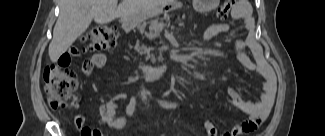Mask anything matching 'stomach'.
Segmentation results:
<instances>
[{"mask_svg": "<svg viewBox=\"0 0 325 136\" xmlns=\"http://www.w3.org/2000/svg\"><path fill=\"white\" fill-rule=\"evenodd\" d=\"M219 2L220 0H195L194 8L199 12L210 11L214 9L219 4ZM178 6H179L178 1H169L168 5H164L161 11L157 9H153L151 11L145 12L136 17L128 19L129 26L134 27L138 23L146 20L147 18L157 15L159 12H161L162 14L164 12H177L179 9Z\"/></svg>", "mask_w": 325, "mask_h": 136, "instance_id": "stomach-1", "label": "stomach"}]
</instances>
